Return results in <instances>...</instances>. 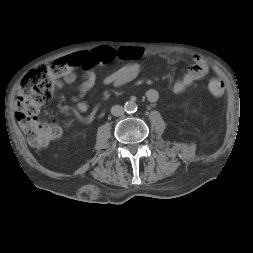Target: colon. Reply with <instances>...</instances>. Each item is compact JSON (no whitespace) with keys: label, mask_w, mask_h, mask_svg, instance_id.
I'll return each instance as SVG.
<instances>
[{"label":"colon","mask_w":253,"mask_h":253,"mask_svg":"<svg viewBox=\"0 0 253 253\" xmlns=\"http://www.w3.org/2000/svg\"><path fill=\"white\" fill-rule=\"evenodd\" d=\"M70 69V60L63 57L48 65L34 67L20 80L17 87L15 117L29 144L34 148L44 147L62 134V128L57 122L40 121L38 113L40 107L50 100L55 80L62 78ZM207 87L212 95L221 96L225 84L220 79L212 78Z\"/></svg>","instance_id":"1"}]
</instances>
